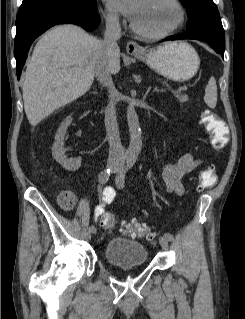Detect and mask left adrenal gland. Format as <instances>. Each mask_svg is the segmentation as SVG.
<instances>
[{
    "instance_id": "1",
    "label": "left adrenal gland",
    "mask_w": 245,
    "mask_h": 319,
    "mask_svg": "<svg viewBox=\"0 0 245 319\" xmlns=\"http://www.w3.org/2000/svg\"><path fill=\"white\" fill-rule=\"evenodd\" d=\"M153 91H156V92H162V91H163V89H158L157 87H155V88L153 89Z\"/></svg>"
}]
</instances>
